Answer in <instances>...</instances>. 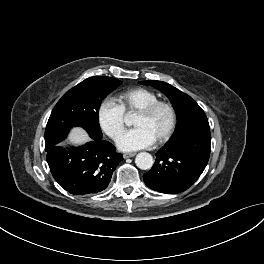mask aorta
I'll list each match as a JSON object with an SVG mask.
<instances>
[{
  "mask_svg": "<svg viewBox=\"0 0 264 264\" xmlns=\"http://www.w3.org/2000/svg\"><path fill=\"white\" fill-rule=\"evenodd\" d=\"M135 163L138 168L142 170H148L153 166L154 160L151 154L147 152H141L137 154Z\"/></svg>",
  "mask_w": 264,
  "mask_h": 264,
  "instance_id": "762f6f07",
  "label": "aorta"
}]
</instances>
